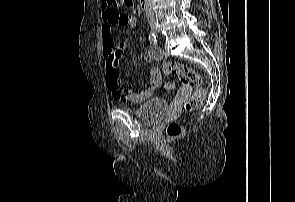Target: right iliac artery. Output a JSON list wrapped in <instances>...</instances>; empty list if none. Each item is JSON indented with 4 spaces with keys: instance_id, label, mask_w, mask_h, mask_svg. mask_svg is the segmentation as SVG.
<instances>
[{
    "instance_id": "82829eb1",
    "label": "right iliac artery",
    "mask_w": 295,
    "mask_h": 202,
    "mask_svg": "<svg viewBox=\"0 0 295 202\" xmlns=\"http://www.w3.org/2000/svg\"><path fill=\"white\" fill-rule=\"evenodd\" d=\"M149 41L153 45H156L157 44L156 35L154 33H152V32L149 33Z\"/></svg>"
}]
</instances>
